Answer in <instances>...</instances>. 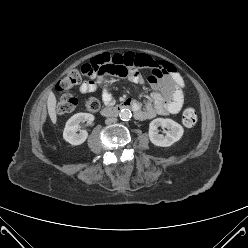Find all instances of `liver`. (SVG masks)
Masks as SVG:
<instances>
[{"label": "liver", "instance_id": "liver-1", "mask_svg": "<svg viewBox=\"0 0 248 248\" xmlns=\"http://www.w3.org/2000/svg\"><path fill=\"white\" fill-rule=\"evenodd\" d=\"M56 97L53 92H50L47 100V108L48 114L53 124L57 122V114H56Z\"/></svg>", "mask_w": 248, "mask_h": 248}]
</instances>
